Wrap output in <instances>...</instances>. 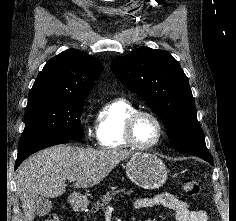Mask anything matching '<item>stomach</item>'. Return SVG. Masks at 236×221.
<instances>
[{
	"label": "stomach",
	"instance_id": "0dacf381",
	"mask_svg": "<svg viewBox=\"0 0 236 221\" xmlns=\"http://www.w3.org/2000/svg\"><path fill=\"white\" fill-rule=\"evenodd\" d=\"M126 174L137 186L148 190L161 187L168 178V170L163 161L146 152L131 155L126 164ZM69 202L80 206L85 204L86 199L81 194L73 193L69 196Z\"/></svg>",
	"mask_w": 236,
	"mask_h": 221
}]
</instances>
